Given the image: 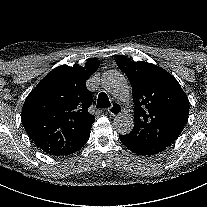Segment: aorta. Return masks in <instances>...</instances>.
I'll use <instances>...</instances> for the list:
<instances>
[{
  "instance_id": "obj_1",
  "label": "aorta",
  "mask_w": 207,
  "mask_h": 207,
  "mask_svg": "<svg viewBox=\"0 0 207 207\" xmlns=\"http://www.w3.org/2000/svg\"><path fill=\"white\" fill-rule=\"evenodd\" d=\"M101 84L106 92L116 96L122 101L130 98V87L123 74L115 70H108L101 77ZM115 130L122 134H129L134 127V119L127 112H122L114 119Z\"/></svg>"
}]
</instances>
